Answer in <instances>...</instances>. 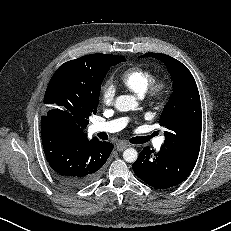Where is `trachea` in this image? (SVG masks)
<instances>
[{
    "mask_svg": "<svg viewBox=\"0 0 231 231\" xmlns=\"http://www.w3.org/2000/svg\"><path fill=\"white\" fill-rule=\"evenodd\" d=\"M153 136H154V134L151 136L134 137L131 139V142L133 144H143V143L149 141L150 138H152Z\"/></svg>",
    "mask_w": 231,
    "mask_h": 231,
    "instance_id": "1",
    "label": "trachea"
}]
</instances>
